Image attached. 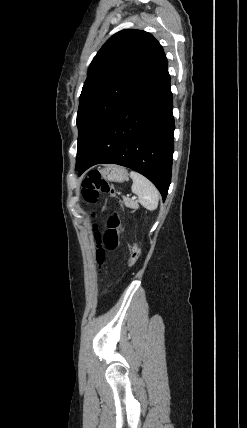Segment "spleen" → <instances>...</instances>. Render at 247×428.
I'll return each instance as SVG.
<instances>
[{"mask_svg":"<svg viewBox=\"0 0 247 428\" xmlns=\"http://www.w3.org/2000/svg\"><path fill=\"white\" fill-rule=\"evenodd\" d=\"M132 192L138 196L139 202L148 210H155L159 202V192L156 187L143 175L132 171Z\"/></svg>","mask_w":247,"mask_h":428,"instance_id":"obj_1","label":"spleen"}]
</instances>
